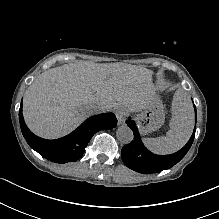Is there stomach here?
<instances>
[{
	"instance_id": "stomach-1",
	"label": "stomach",
	"mask_w": 219,
	"mask_h": 219,
	"mask_svg": "<svg viewBox=\"0 0 219 219\" xmlns=\"http://www.w3.org/2000/svg\"><path fill=\"white\" fill-rule=\"evenodd\" d=\"M141 134H148L159 129L165 120L164 106L156 94L140 111L134 112Z\"/></svg>"
}]
</instances>
